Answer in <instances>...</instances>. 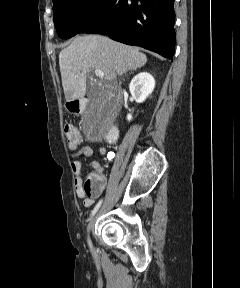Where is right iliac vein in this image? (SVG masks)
Segmentation results:
<instances>
[{"label": "right iliac vein", "instance_id": "obj_1", "mask_svg": "<svg viewBox=\"0 0 240 288\" xmlns=\"http://www.w3.org/2000/svg\"><path fill=\"white\" fill-rule=\"evenodd\" d=\"M94 220H95V216H93L89 222V225H88V232L91 231L92 229V226H93V223H94Z\"/></svg>", "mask_w": 240, "mask_h": 288}]
</instances>
